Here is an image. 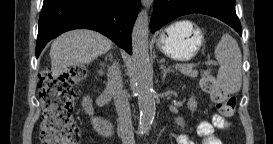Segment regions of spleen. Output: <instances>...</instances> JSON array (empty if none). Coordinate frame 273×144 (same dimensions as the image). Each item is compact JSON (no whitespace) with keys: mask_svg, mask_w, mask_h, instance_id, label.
<instances>
[{"mask_svg":"<svg viewBox=\"0 0 273 144\" xmlns=\"http://www.w3.org/2000/svg\"><path fill=\"white\" fill-rule=\"evenodd\" d=\"M214 54L220 65L218 84L227 93H237L242 84V56L238 43L229 34H224L215 47Z\"/></svg>","mask_w":273,"mask_h":144,"instance_id":"3e777b00","label":"spleen"}]
</instances>
